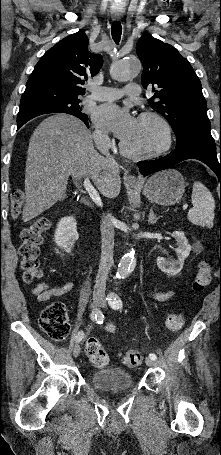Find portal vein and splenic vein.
I'll list each match as a JSON object with an SVG mask.
<instances>
[{
    "instance_id": "obj_1",
    "label": "portal vein and splenic vein",
    "mask_w": 221,
    "mask_h": 455,
    "mask_svg": "<svg viewBox=\"0 0 221 455\" xmlns=\"http://www.w3.org/2000/svg\"><path fill=\"white\" fill-rule=\"evenodd\" d=\"M83 186L85 188V190L88 192L90 198L92 199V201L99 207H102V201H101V198L98 194V192L96 191V189L92 186L91 182H90V179L87 177L84 179V182H83ZM188 208V205L185 204L183 205V209H187Z\"/></svg>"
}]
</instances>
